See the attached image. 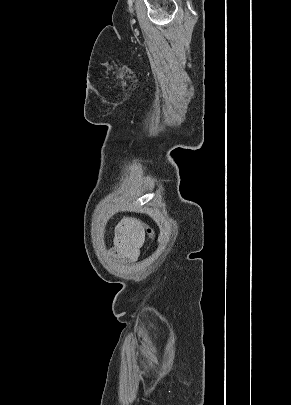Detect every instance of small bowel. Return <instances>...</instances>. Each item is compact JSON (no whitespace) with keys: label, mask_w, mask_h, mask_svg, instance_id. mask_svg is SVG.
I'll return each mask as SVG.
<instances>
[{"label":"small bowel","mask_w":291,"mask_h":405,"mask_svg":"<svg viewBox=\"0 0 291 405\" xmlns=\"http://www.w3.org/2000/svg\"><path fill=\"white\" fill-rule=\"evenodd\" d=\"M143 241L142 225L134 221H125L117 228L114 237V253L120 257L136 259Z\"/></svg>","instance_id":"obj_1"}]
</instances>
